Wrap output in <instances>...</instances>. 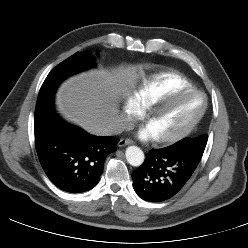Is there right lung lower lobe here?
<instances>
[{
    "label": "right lung lower lobe",
    "instance_id": "right-lung-lower-lobe-1",
    "mask_svg": "<svg viewBox=\"0 0 248 248\" xmlns=\"http://www.w3.org/2000/svg\"><path fill=\"white\" fill-rule=\"evenodd\" d=\"M54 93L38 95L35 146L48 178L63 191L82 193L99 182L108 154L119 139L94 136L65 123L54 112Z\"/></svg>",
    "mask_w": 248,
    "mask_h": 248
}]
</instances>
